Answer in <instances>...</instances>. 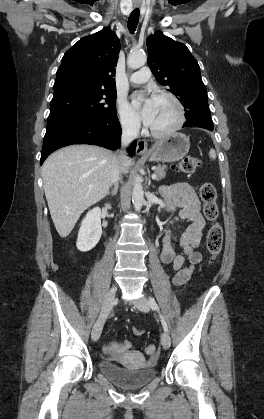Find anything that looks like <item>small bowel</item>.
Masks as SVG:
<instances>
[{
	"label": "small bowel",
	"mask_w": 264,
	"mask_h": 419,
	"mask_svg": "<svg viewBox=\"0 0 264 419\" xmlns=\"http://www.w3.org/2000/svg\"><path fill=\"white\" fill-rule=\"evenodd\" d=\"M161 194L166 202L167 209L173 211L179 208V213L174 220L183 219L190 221L179 241L180 252H176L171 242V231L168 229L163 237L161 260L169 265L174 272L173 283L181 286L193 275L195 268L203 260L202 234L206 221L200 213V201L197 196V186L189 182H180L164 185ZM136 335H142L143 331L133 328ZM131 344L128 341L120 343H105L103 352L111 360L121 359L129 354Z\"/></svg>",
	"instance_id": "1"
}]
</instances>
